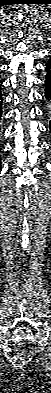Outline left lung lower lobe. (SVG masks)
I'll list each match as a JSON object with an SVG mask.
<instances>
[{
  "mask_svg": "<svg viewBox=\"0 0 51 393\" xmlns=\"http://www.w3.org/2000/svg\"><path fill=\"white\" fill-rule=\"evenodd\" d=\"M46 79H45V91H46V97L51 100V59L50 61L46 64ZM51 103V101H50ZM50 131H51V121H50Z\"/></svg>",
  "mask_w": 51,
  "mask_h": 393,
  "instance_id": "obj_1",
  "label": "left lung lower lobe"
}]
</instances>
